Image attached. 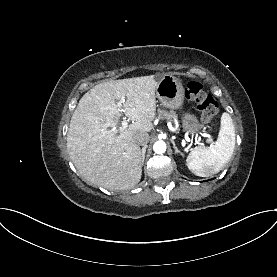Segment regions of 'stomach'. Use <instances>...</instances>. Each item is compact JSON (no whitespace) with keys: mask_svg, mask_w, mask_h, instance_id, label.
Masks as SVG:
<instances>
[{"mask_svg":"<svg viewBox=\"0 0 277 277\" xmlns=\"http://www.w3.org/2000/svg\"><path fill=\"white\" fill-rule=\"evenodd\" d=\"M184 95L185 91L179 78L170 74H165L160 78L156 88V97L165 108L171 110L182 109ZM181 121L183 130L187 132L191 138L199 134L203 129V125L199 122L197 116L190 112L183 113Z\"/></svg>","mask_w":277,"mask_h":277,"instance_id":"obj_1","label":"stomach"}]
</instances>
